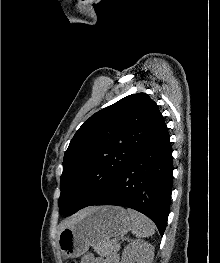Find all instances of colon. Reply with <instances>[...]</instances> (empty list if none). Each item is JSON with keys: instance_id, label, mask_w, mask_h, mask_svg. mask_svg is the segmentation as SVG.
<instances>
[{"instance_id": "obj_1", "label": "colon", "mask_w": 220, "mask_h": 263, "mask_svg": "<svg viewBox=\"0 0 220 263\" xmlns=\"http://www.w3.org/2000/svg\"><path fill=\"white\" fill-rule=\"evenodd\" d=\"M70 263H76L75 261H71Z\"/></svg>"}]
</instances>
